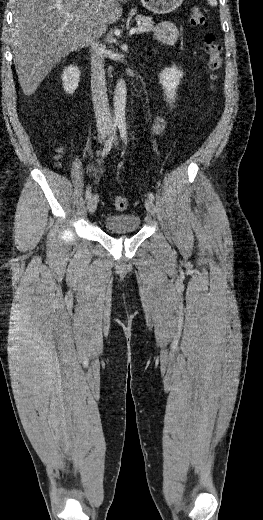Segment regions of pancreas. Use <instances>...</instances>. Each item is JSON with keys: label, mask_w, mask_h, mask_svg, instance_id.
<instances>
[{"label": "pancreas", "mask_w": 263, "mask_h": 520, "mask_svg": "<svg viewBox=\"0 0 263 520\" xmlns=\"http://www.w3.org/2000/svg\"><path fill=\"white\" fill-rule=\"evenodd\" d=\"M135 19L137 22H139L137 24L138 33L149 32L154 28V22L152 21V18L149 16L137 15Z\"/></svg>", "instance_id": "cf45deb5"}]
</instances>
